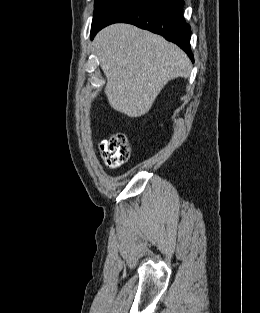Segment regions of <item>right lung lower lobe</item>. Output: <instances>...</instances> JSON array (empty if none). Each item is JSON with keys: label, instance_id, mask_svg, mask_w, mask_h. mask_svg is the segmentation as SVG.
<instances>
[{"label": "right lung lower lobe", "instance_id": "1", "mask_svg": "<svg viewBox=\"0 0 260 313\" xmlns=\"http://www.w3.org/2000/svg\"><path fill=\"white\" fill-rule=\"evenodd\" d=\"M183 0H119L91 29V39L107 25L131 23L177 44L194 61L190 50L191 27L182 16Z\"/></svg>", "mask_w": 260, "mask_h": 313}]
</instances>
